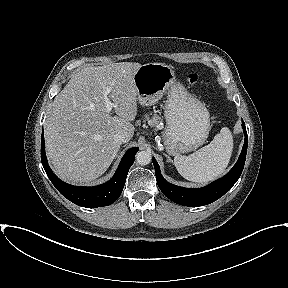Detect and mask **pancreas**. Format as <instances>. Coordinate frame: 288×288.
Wrapping results in <instances>:
<instances>
[{"mask_svg": "<svg viewBox=\"0 0 288 288\" xmlns=\"http://www.w3.org/2000/svg\"><path fill=\"white\" fill-rule=\"evenodd\" d=\"M145 118L148 120L149 125H158L160 117L154 115L151 119L146 115Z\"/></svg>", "mask_w": 288, "mask_h": 288, "instance_id": "1", "label": "pancreas"}]
</instances>
